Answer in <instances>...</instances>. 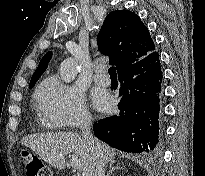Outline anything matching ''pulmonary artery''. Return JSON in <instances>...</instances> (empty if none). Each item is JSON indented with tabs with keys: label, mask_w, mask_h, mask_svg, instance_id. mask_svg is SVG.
I'll return each mask as SVG.
<instances>
[{
	"label": "pulmonary artery",
	"mask_w": 205,
	"mask_h": 176,
	"mask_svg": "<svg viewBox=\"0 0 205 176\" xmlns=\"http://www.w3.org/2000/svg\"><path fill=\"white\" fill-rule=\"evenodd\" d=\"M94 81L101 86L110 85V79L103 74V67L96 68V73L94 75Z\"/></svg>",
	"instance_id": "obj_1"
}]
</instances>
